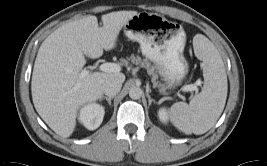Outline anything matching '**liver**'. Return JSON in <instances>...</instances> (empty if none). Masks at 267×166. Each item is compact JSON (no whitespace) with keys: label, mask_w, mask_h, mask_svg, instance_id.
Here are the masks:
<instances>
[{"label":"liver","mask_w":267,"mask_h":166,"mask_svg":"<svg viewBox=\"0 0 267 166\" xmlns=\"http://www.w3.org/2000/svg\"><path fill=\"white\" fill-rule=\"evenodd\" d=\"M137 11H117L86 16L67 23L41 44L34 63L31 92L34 107L44 122L58 135L69 137L75 130L79 109L103 97V84L109 79L124 82L123 73H80L85 56L99 58L112 50L121 29Z\"/></svg>","instance_id":"6515ba94"}]
</instances>
